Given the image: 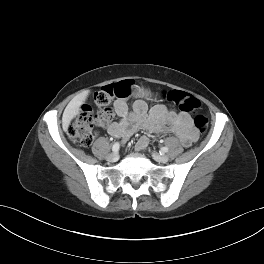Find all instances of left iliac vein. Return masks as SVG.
I'll return each mask as SVG.
<instances>
[{"label": "left iliac vein", "instance_id": "left-iliac-vein-1", "mask_svg": "<svg viewBox=\"0 0 264 264\" xmlns=\"http://www.w3.org/2000/svg\"><path fill=\"white\" fill-rule=\"evenodd\" d=\"M152 157H153V159H154L155 161L160 162V163H166V162H168V160H169V157H168V156H166V155H161V154H159V153H157V152H153V153H152Z\"/></svg>", "mask_w": 264, "mask_h": 264}]
</instances>
